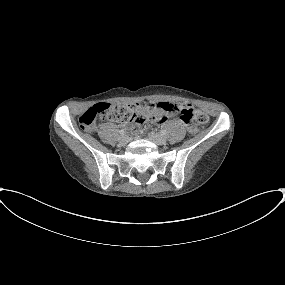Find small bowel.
Listing matches in <instances>:
<instances>
[{"instance_id": "1", "label": "small bowel", "mask_w": 285, "mask_h": 285, "mask_svg": "<svg viewBox=\"0 0 285 285\" xmlns=\"http://www.w3.org/2000/svg\"><path fill=\"white\" fill-rule=\"evenodd\" d=\"M153 109L147 115L141 116L134 127L142 130L144 128V122L146 120L154 121L157 124H165L169 117L173 116L174 113L170 111V107H172L173 103L168 101H160V102H153ZM181 126L186 127L190 132H195L196 128L192 124L185 123L183 120H179L178 122Z\"/></svg>"}]
</instances>
